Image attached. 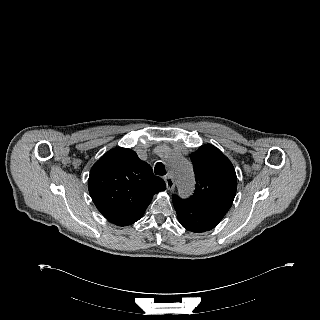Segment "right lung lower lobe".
<instances>
[{
  "mask_svg": "<svg viewBox=\"0 0 320 320\" xmlns=\"http://www.w3.org/2000/svg\"><path fill=\"white\" fill-rule=\"evenodd\" d=\"M139 219H140V218H139ZM139 219H137V220H139ZM137 220L130 221V222H125V223H121L119 226H127V225H130V224L136 222Z\"/></svg>",
  "mask_w": 320,
  "mask_h": 320,
  "instance_id": "right-lung-lower-lobe-1",
  "label": "right lung lower lobe"
}]
</instances>
